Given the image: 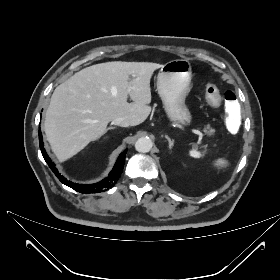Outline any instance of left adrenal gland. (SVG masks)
I'll use <instances>...</instances> for the list:
<instances>
[{"label": "left adrenal gland", "mask_w": 280, "mask_h": 280, "mask_svg": "<svg viewBox=\"0 0 280 280\" xmlns=\"http://www.w3.org/2000/svg\"><path fill=\"white\" fill-rule=\"evenodd\" d=\"M165 138L168 140L169 149H172V148H173V145H174V141L171 140L167 135L165 136Z\"/></svg>", "instance_id": "a2214340"}]
</instances>
